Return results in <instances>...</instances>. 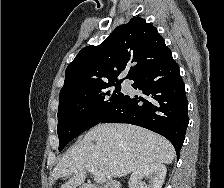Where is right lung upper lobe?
<instances>
[{
    "mask_svg": "<svg viewBox=\"0 0 224 188\" xmlns=\"http://www.w3.org/2000/svg\"><path fill=\"white\" fill-rule=\"evenodd\" d=\"M171 54L157 29L141 17L115 28L98 46L84 47L68 65L64 86L60 92L91 87L125 78L133 79Z\"/></svg>",
    "mask_w": 224,
    "mask_h": 188,
    "instance_id": "1",
    "label": "right lung upper lobe"
}]
</instances>
